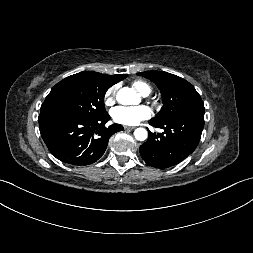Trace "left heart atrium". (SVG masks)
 <instances>
[{"instance_id": "39dd6f15", "label": "left heart atrium", "mask_w": 253, "mask_h": 253, "mask_svg": "<svg viewBox=\"0 0 253 253\" xmlns=\"http://www.w3.org/2000/svg\"><path fill=\"white\" fill-rule=\"evenodd\" d=\"M112 118L116 123L136 125L151 116L149 107L141 105L135 107L118 106L112 110Z\"/></svg>"}]
</instances>
